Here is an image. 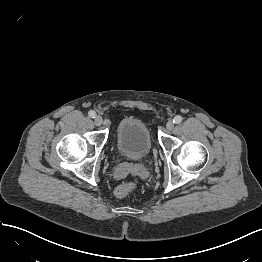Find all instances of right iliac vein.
<instances>
[{
  "instance_id": "63e3f726",
  "label": "right iliac vein",
  "mask_w": 262,
  "mask_h": 262,
  "mask_svg": "<svg viewBox=\"0 0 262 262\" xmlns=\"http://www.w3.org/2000/svg\"><path fill=\"white\" fill-rule=\"evenodd\" d=\"M94 122H95V124H96L97 126H100V125L102 124V122H103V119H102V117H101L100 115H97V116L95 117V119H94Z\"/></svg>"
}]
</instances>
